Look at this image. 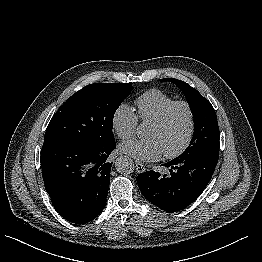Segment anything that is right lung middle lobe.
<instances>
[{
    "instance_id": "right-lung-middle-lobe-1",
    "label": "right lung middle lobe",
    "mask_w": 262,
    "mask_h": 262,
    "mask_svg": "<svg viewBox=\"0 0 262 262\" xmlns=\"http://www.w3.org/2000/svg\"><path fill=\"white\" fill-rule=\"evenodd\" d=\"M132 89V83H95L83 87L54 114L44 142L104 143L114 140L115 111Z\"/></svg>"
}]
</instances>
